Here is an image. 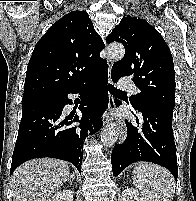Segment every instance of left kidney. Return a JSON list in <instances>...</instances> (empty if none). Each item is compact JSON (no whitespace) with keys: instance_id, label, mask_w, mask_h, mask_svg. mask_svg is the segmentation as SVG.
I'll return each mask as SVG.
<instances>
[{"instance_id":"1","label":"left kidney","mask_w":196,"mask_h":201,"mask_svg":"<svg viewBox=\"0 0 196 201\" xmlns=\"http://www.w3.org/2000/svg\"><path fill=\"white\" fill-rule=\"evenodd\" d=\"M122 201H145V199L139 197V193L136 189L127 188L122 191Z\"/></svg>"}]
</instances>
